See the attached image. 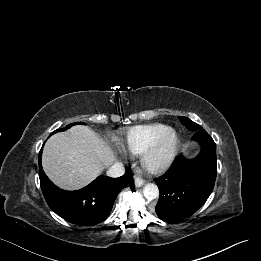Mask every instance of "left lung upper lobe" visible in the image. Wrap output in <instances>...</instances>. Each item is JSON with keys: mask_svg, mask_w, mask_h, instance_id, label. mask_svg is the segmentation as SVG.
I'll list each match as a JSON object with an SVG mask.
<instances>
[{"mask_svg": "<svg viewBox=\"0 0 261 261\" xmlns=\"http://www.w3.org/2000/svg\"><path fill=\"white\" fill-rule=\"evenodd\" d=\"M179 120L181 121V123L189 130L191 131H199L202 130V127L200 125H198L197 123L191 121L189 118L187 117H178Z\"/></svg>", "mask_w": 261, "mask_h": 261, "instance_id": "left-lung-upper-lobe-1", "label": "left lung upper lobe"}]
</instances>
